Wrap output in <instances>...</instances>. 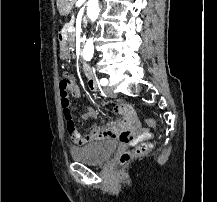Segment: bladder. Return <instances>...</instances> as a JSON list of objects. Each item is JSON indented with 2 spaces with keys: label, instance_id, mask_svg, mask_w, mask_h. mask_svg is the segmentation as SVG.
Here are the masks:
<instances>
[{
  "label": "bladder",
  "instance_id": "1",
  "mask_svg": "<svg viewBox=\"0 0 217 202\" xmlns=\"http://www.w3.org/2000/svg\"><path fill=\"white\" fill-rule=\"evenodd\" d=\"M114 140H105L88 144L81 149H72L71 157L85 164H102L117 150Z\"/></svg>",
  "mask_w": 217,
  "mask_h": 202
}]
</instances>
